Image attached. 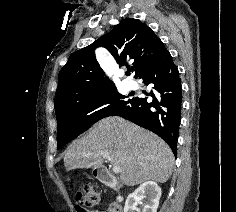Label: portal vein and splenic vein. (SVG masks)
<instances>
[{
    "label": "portal vein and splenic vein",
    "mask_w": 236,
    "mask_h": 212,
    "mask_svg": "<svg viewBox=\"0 0 236 212\" xmlns=\"http://www.w3.org/2000/svg\"><path fill=\"white\" fill-rule=\"evenodd\" d=\"M97 155H101V156L105 157L108 161H111L110 156H109L106 152L99 151V152L97 153ZM113 172L116 173V174H118V173L121 172V168H120L119 166H114V167H113Z\"/></svg>",
    "instance_id": "obj_1"
}]
</instances>
